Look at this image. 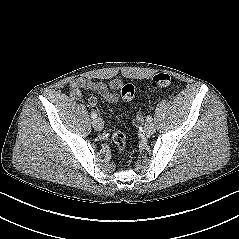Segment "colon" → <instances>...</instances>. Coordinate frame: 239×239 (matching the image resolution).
I'll return each mask as SVG.
<instances>
[{"mask_svg":"<svg viewBox=\"0 0 239 239\" xmlns=\"http://www.w3.org/2000/svg\"><path fill=\"white\" fill-rule=\"evenodd\" d=\"M171 82V78L166 73H159L155 75L151 80V88L153 90L161 89L164 87H167ZM137 93V89L132 84H125L121 89V96L124 101H130L132 100ZM113 142L117 149L120 152H124L126 150V139L124 133L118 129L113 134Z\"/></svg>","mask_w":239,"mask_h":239,"instance_id":"1","label":"colon"}]
</instances>
